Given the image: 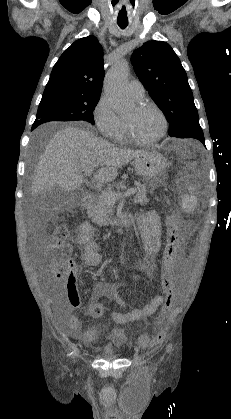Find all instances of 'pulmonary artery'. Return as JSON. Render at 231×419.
Segmentation results:
<instances>
[{
    "label": "pulmonary artery",
    "instance_id": "obj_1",
    "mask_svg": "<svg viewBox=\"0 0 231 419\" xmlns=\"http://www.w3.org/2000/svg\"><path fill=\"white\" fill-rule=\"evenodd\" d=\"M128 92L133 98L140 100L145 95V88L139 80H132L128 84Z\"/></svg>",
    "mask_w": 231,
    "mask_h": 419
}]
</instances>
